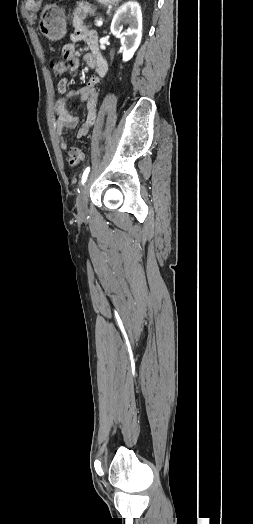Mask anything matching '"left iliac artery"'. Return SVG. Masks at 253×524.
Here are the masks:
<instances>
[{
    "instance_id": "1",
    "label": "left iliac artery",
    "mask_w": 253,
    "mask_h": 524,
    "mask_svg": "<svg viewBox=\"0 0 253 524\" xmlns=\"http://www.w3.org/2000/svg\"><path fill=\"white\" fill-rule=\"evenodd\" d=\"M90 172V167H87L83 173V176H82V180H81V183L84 184L85 181L87 180V177H88V174Z\"/></svg>"
}]
</instances>
